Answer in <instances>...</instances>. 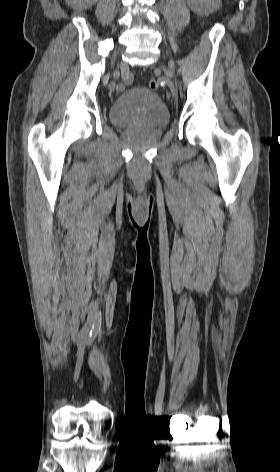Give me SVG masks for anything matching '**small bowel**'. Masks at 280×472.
<instances>
[{"mask_svg": "<svg viewBox=\"0 0 280 472\" xmlns=\"http://www.w3.org/2000/svg\"><path fill=\"white\" fill-rule=\"evenodd\" d=\"M132 80H133V77L130 76V77H128V78L125 80L124 84H125V85H126V84H129V83L132 82Z\"/></svg>", "mask_w": 280, "mask_h": 472, "instance_id": "small-bowel-1", "label": "small bowel"}]
</instances>
